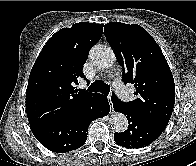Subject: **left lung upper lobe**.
I'll return each instance as SVG.
<instances>
[{
    "label": "left lung upper lobe",
    "instance_id": "1",
    "mask_svg": "<svg viewBox=\"0 0 196 166\" xmlns=\"http://www.w3.org/2000/svg\"><path fill=\"white\" fill-rule=\"evenodd\" d=\"M107 40L123 68L122 80L135 86L136 99L112 100L143 119L167 126L175 103V84L169 65L156 41L141 26L110 22Z\"/></svg>",
    "mask_w": 196,
    "mask_h": 166
}]
</instances>
